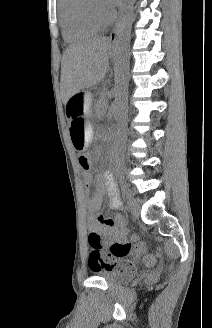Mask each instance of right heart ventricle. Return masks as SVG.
Segmentation results:
<instances>
[{"instance_id":"obj_1","label":"right heart ventricle","mask_w":212,"mask_h":328,"mask_svg":"<svg viewBox=\"0 0 212 328\" xmlns=\"http://www.w3.org/2000/svg\"><path fill=\"white\" fill-rule=\"evenodd\" d=\"M85 0H59V18L63 36L70 43L98 34L103 28L89 22L83 13Z\"/></svg>"}]
</instances>
